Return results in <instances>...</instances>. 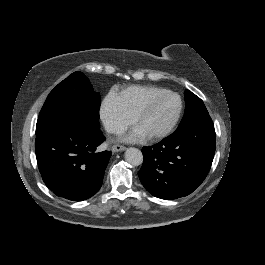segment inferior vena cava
Instances as JSON below:
<instances>
[{
  "instance_id": "obj_1",
  "label": "inferior vena cava",
  "mask_w": 265,
  "mask_h": 265,
  "mask_svg": "<svg viewBox=\"0 0 265 265\" xmlns=\"http://www.w3.org/2000/svg\"><path fill=\"white\" fill-rule=\"evenodd\" d=\"M105 129L108 133H111V134H118V133H121L123 131L121 125H119L117 123L110 122V121L105 123Z\"/></svg>"
}]
</instances>
